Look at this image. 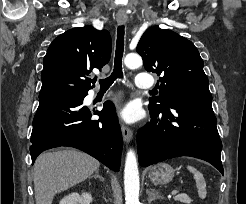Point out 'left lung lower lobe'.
Here are the masks:
<instances>
[{"label":"left lung lower lobe","mask_w":246,"mask_h":204,"mask_svg":"<svg viewBox=\"0 0 246 204\" xmlns=\"http://www.w3.org/2000/svg\"><path fill=\"white\" fill-rule=\"evenodd\" d=\"M151 121L139 130V164L191 156L211 163L223 174L222 142L211 100H171L161 110L149 109Z\"/></svg>","instance_id":"left-lung-lower-lobe-1"}]
</instances>
